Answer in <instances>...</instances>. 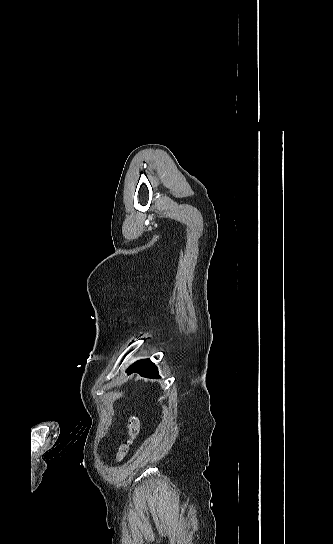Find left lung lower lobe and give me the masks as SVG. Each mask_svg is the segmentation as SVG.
I'll list each match as a JSON object with an SVG mask.
<instances>
[{"label":"left lung lower lobe","instance_id":"0a47b994","mask_svg":"<svg viewBox=\"0 0 333 544\" xmlns=\"http://www.w3.org/2000/svg\"><path fill=\"white\" fill-rule=\"evenodd\" d=\"M134 372L147 378L159 377L157 367L149 359L138 361L127 370L128 374Z\"/></svg>","mask_w":333,"mask_h":544}]
</instances>
